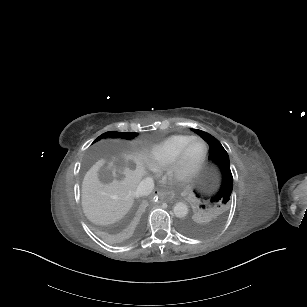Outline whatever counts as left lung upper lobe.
<instances>
[{"mask_svg":"<svg viewBox=\"0 0 307 307\" xmlns=\"http://www.w3.org/2000/svg\"><path fill=\"white\" fill-rule=\"evenodd\" d=\"M209 144V158L214 161L221 169L222 184L219 191L202 201L200 211L205 219L201 223L185 221L182 229L190 235H206L215 231L223 221L225 211L230 202L233 190V176L230 170L229 157L221 143L209 133L198 129H192ZM199 197V195H197Z\"/></svg>","mask_w":307,"mask_h":307,"instance_id":"obj_1","label":"left lung upper lobe"}]
</instances>
